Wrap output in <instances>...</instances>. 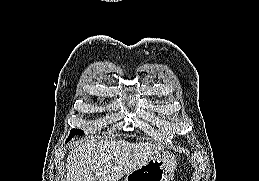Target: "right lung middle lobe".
Returning <instances> with one entry per match:
<instances>
[{
  "label": "right lung middle lobe",
  "mask_w": 259,
  "mask_h": 181,
  "mask_svg": "<svg viewBox=\"0 0 259 181\" xmlns=\"http://www.w3.org/2000/svg\"><path fill=\"white\" fill-rule=\"evenodd\" d=\"M83 134H84V132H83L82 130H80V129H72V130L70 131V135H69L68 139L66 140V142H68L69 140H71L72 137H74V136L83 135Z\"/></svg>",
  "instance_id": "dd1d6c3e"
}]
</instances>
